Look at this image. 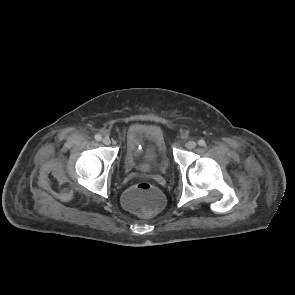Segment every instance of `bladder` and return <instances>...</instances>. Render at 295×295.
Segmentation results:
<instances>
[{"instance_id": "obj_1", "label": "bladder", "mask_w": 295, "mask_h": 295, "mask_svg": "<svg viewBox=\"0 0 295 295\" xmlns=\"http://www.w3.org/2000/svg\"><path fill=\"white\" fill-rule=\"evenodd\" d=\"M124 164L146 174L166 172L170 161L163 133L152 128L137 132L126 146Z\"/></svg>"}]
</instances>
